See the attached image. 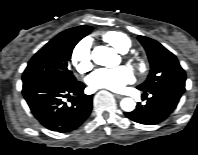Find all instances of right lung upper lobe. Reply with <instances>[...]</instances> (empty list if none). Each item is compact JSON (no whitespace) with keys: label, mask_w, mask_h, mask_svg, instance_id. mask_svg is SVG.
Here are the masks:
<instances>
[{"label":"right lung upper lobe","mask_w":198,"mask_h":155,"mask_svg":"<svg viewBox=\"0 0 198 155\" xmlns=\"http://www.w3.org/2000/svg\"><path fill=\"white\" fill-rule=\"evenodd\" d=\"M79 27H82V26H79ZM79 27H75V28L68 29V30H66V31H63L62 33L69 32V31L74 30V29H77V28H79Z\"/></svg>","instance_id":"obj_1"}]
</instances>
